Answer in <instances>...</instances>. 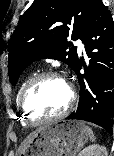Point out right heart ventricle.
<instances>
[{"label":"right heart ventricle","instance_id":"1","mask_svg":"<svg viewBox=\"0 0 114 156\" xmlns=\"http://www.w3.org/2000/svg\"><path fill=\"white\" fill-rule=\"evenodd\" d=\"M27 81L28 80H25L24 82H22L21 86L19 87V90H18V93H17V97H16V103H17V105H18V97H19V94H20L22 88L24 87V85L26 84ZM23 125H25L24 122H23Z\"/></svg>","mask_w":114,"mask_h":156}]
</instances>
